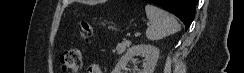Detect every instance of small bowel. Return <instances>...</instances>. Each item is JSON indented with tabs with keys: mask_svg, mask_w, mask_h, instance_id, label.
Returning a JSON list of instances; mask_svg holds the SVG:
<instances>
[{
	"mask_svg": "<svg viewBox=\"0 0 244 73\" xmlns=\"http://www.w3.org/2000/svg\"><path fill=\"white\" fill-rule=\"evenodd\" d=\"M88 73H102L98 64H90L88 66Z\"/></svg>",
	"mask_w": 244,
	"mask_h": 73,
	"instance_id": "c3829d8e",
	"label": "small bowel"
}]
</instances>
